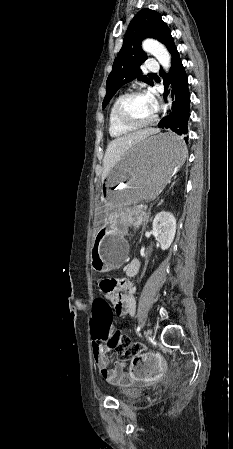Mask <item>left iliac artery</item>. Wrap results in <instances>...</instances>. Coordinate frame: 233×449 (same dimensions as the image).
<instances>
[{
	"instance_id": "44dca946",
	"label": "left iliac artery",
	"mask_w": 233,
	"mask_h": 449,
	"mask_svg": "<svg viewBox=\"0 0 233 449\" xmlns=\"http://www.w3.org/2000/svg\"><path fill=\"white\" fill-rule=\"evenodd\" d=\"M139 332H140V326H138V327L136 328V333L139 334Z\"/></svg>"
}]
</instances>
